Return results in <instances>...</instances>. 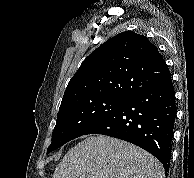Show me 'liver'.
Instances as JSON below:
<instances>
[{"label": "liver", "mask_w": 194, "mask_h": 178, "mask_svg": "<svg viewBox=\"0 0 194 178\" xmlns=\"http://www.w3.org/2000/svg\"><path fill=\"white\" fill-rule=\"evenodd\" d=\"M53 178H164V169L160 161L140 147L97 135L71 148Z\"/></svg>", "instance_id": "liver-1"}]
</instances>
